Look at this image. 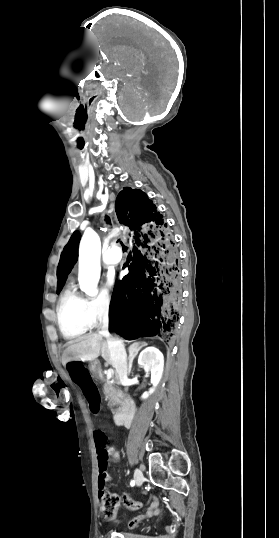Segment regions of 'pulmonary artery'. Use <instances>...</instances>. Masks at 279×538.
Instances as JSON below:
<instances>
[{"instance_id":"1","label":"pulmonary artery","mask_w":279,"mask_h":538,"mask_svg":"<svg viewBox=\"0 0 279 538\" xmlns=\"http://www.w3.org/2000/svg\"><path fill=\"white\" fill-rule=\"evenodd\" d=\"M120 261V258L118 256H110L108 253L104 254L103 257V266L105 269H113L118 262Z\"/></svg>"}]
</instances>
